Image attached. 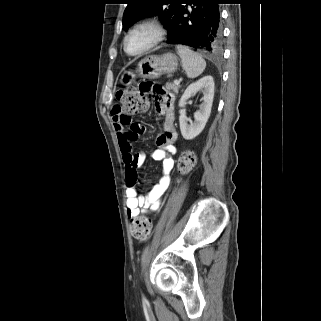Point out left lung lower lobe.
<instances>
[{"instance_id":"left-lung-lower-lobe-1","label":"left lung lower lobe","mask_w":321,"mask_h":321,"mask_svg":"<svg viewBox=\"0 0 321 321\" xmlns=\"http://www.w3.org/2000/svg\"><path fill=\"white\" fill-rule=\"evenodd\" d=\"M219 4L222 0H181L168 26L167 43L219 54L223 43Z\"/></svg>"}]
</instances>
